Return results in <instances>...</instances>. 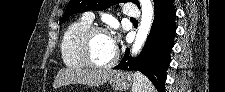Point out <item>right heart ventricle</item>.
<instances>
[{
  "mask_svg": "<svg viewBox=\"0 0 225 92\" xmlns=\"http://www.w3.org/2000/svg\"><path fill=\"white\" fill-rule=\"evenodd\" d=\"M91 26V22L81 17L71 22L64 30L60 42V54L66 66L81 69L86 67L77 52V40L80 34Z\"/></svg>",
  "mask_w": 225,
  "mask_h": 92,
  "instance_id": "right-heart-ventricle-1",
  "label": "right heart ventricle"
}]
</instances>
